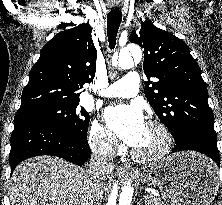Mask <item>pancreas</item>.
<instances>
[{
	"label": "pancreas",
	"instance_id": "pancreas-1",
	"mask_svg": "<svg viewBox=\"0 0 222 205\" xmlns=\"http://www.w3.org/2000/svg\"><path fill=\"white\" fill-rule=\"evenodd\" d=\"M145 205H164V203L160 198L153 196H146Z\"/></svg>",
	"mask_w": 222,
	"mask_h": 205
}]
</instances>
